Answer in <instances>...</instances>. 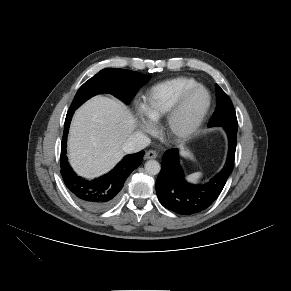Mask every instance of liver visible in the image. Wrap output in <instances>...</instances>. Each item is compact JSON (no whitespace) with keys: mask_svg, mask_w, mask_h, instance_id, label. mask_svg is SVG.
Here are the masks:
<instances>
[{"mask_svg":"<svg viewBox=\"0 0 291 291\" xmlns=\"http://www.w3.org/2000/svg\"><path fill=\"white\" fill-rule=\"evenodd\" d=\"M136 119L120 101L95 96L74 114L68 139L69 161L78 175L93 178L108 172L123 157V144Z\"/></svg>","mask_w":291,"mask_h":291,"instance_id":"liver-1","label":"liver"}]
</instances>
